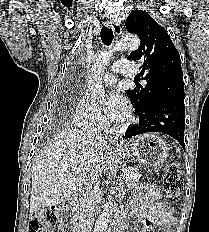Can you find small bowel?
Here are the masks:
<instances>
[{
    "label": "small bowel",
    "mask_w": 209,
    "mask_h": 232,
    "mask_svg": "<svg viewBox=\"0 0 209 232\" xmlns=\"http://www.w3.org/2000/svg\"><path fill=\"white\" fill-rule=\"evenodd\" d=\"M131 208L134 217L142 224L135 232H149L152 226L159 227V232H171L177 222L155 185L142 184L132 197Z\"/></svg>",
    "instance_id": "1"
}]
</instances>
